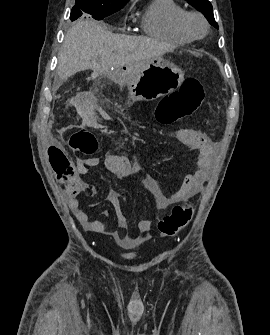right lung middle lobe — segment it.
I'll use <instances>...</instances> for the list:
<instances>
[{
  "instance_id": "1",
  "label": "right lung middle lobe",
  "mask_w": 270,
  "mask_h": 335,
  "mask_svg": "<svg viewBox=\"0 0 270 335\" xmlns=\"http://www.w3.org/2000/svg\"><path fill=\"white\" fill-rule=\"evenodd\" d=\"M124 5L125 3H103L99 0H76L70 19L74 21L82 16L85 19L101 20L120 10Z\"/></svg>"
}]
</instances>
